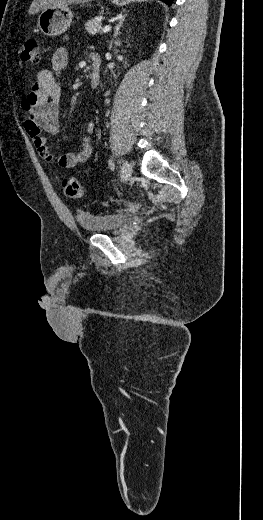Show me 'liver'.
<instances>
[{"label":"liver","instance_id":"liver-1","mask_svg":"<svg viewBox=\"0 0 263 520\" xmlns=\"http://www.w3.org/2000/svg\"><path fill=\"white\" fill-rule=\"evenodd\" d=\"M91 1L92 0H33L29 7L28 14L34 15L50 7H65L71 4L88 3Z\"/></svg>","mask_w":263,"mask_h":520}]
</instances>
